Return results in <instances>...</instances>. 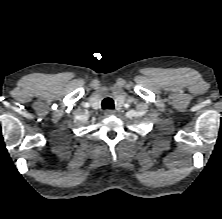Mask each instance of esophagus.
Segmentation results:
<instances>
[{
	"label": "esophagus",
	"instance_id": "34e87169",
	"mask_svg": "<svg viewBox=\"0 0 222 219\" xmlns=\"http://www.w3.org/2000/svg\"><path fill=\"white\" fill-rule=\"evenodd\" d=\"M115 113V111L114 110H106L105 112H104V114H105V116H111V115H113Z\"/></svg>",
	"mask_w": 222,
	"mask_h": 219
}]
</instances>
